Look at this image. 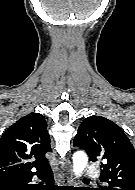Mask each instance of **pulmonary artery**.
<instances>
[{
  "instance_id": "1",
  "label": "pulmonary artery",
  "mask_w": 135,
  "mask_h": 190,
  "mask_svg": "<svg viewBox=\"0 0 135 190\" xmlns=\"http://www.w3.org/2000/svg\"><path fill=\"white\" fill-rule=\"evenodd\" d=\"M85 174L89 178H95L99 176V171L95 166H88L86 168Z\"/></svg>"
}]
</instances>
